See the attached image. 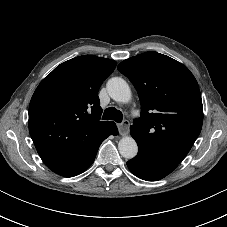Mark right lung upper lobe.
<instances>
[{
	"label": "right lung upper lobe",
	"mask_w": 227,
	"mask_h": 227,
	"mask_svg": "<svg viewBox=\"0 0 227 227\" xmlns=\"http://www.w3.org/2000/svg\"><path fill=\"white\" fill-rule=\"evenodd\" d=\"M116 62L84 55L57 66L35 90L29 105V132L43 162L66 175L107 137L114 122L100 121L98 91Z\"/></svg>",
	"instance_id": "1"
}]
</instances>
